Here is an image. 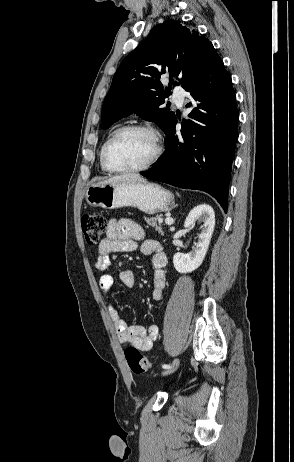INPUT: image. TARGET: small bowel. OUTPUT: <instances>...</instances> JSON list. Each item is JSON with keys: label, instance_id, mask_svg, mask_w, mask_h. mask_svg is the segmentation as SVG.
<instances>
[{"label": "small bowel", "instance_id": "c3829d8e", "mask_svg": "<svg viewBox=\"0 0 294 462\" xmlns=\"http://www.w3.org/2000/svg\"><path fill=\"white\" fill-rule=\"evenodd\" d=\"M143 238L142 228L131 219H112L109 221L106 237L102 239L98 246V257L95 268L98 271H106L112 264L111 255L116 252H131L137 248L138 242ZM141 252L144 255H151V265L153 268V290L152 298L155 301H161L164 297L166 287V276L164 267L167 264V258L162 250L161 244L156 240H144L141 243ZM121 283L127 288L135 285V275L130 269H124L119 273ZM114 280L110 274H103L99 279V286L104 293H108ZM108 312L113 321L114 327L119 339L141 351H149L159 335L157 325H129L119 315L118 311L111 305H108Z\"/></svg>", "mask_w": 294, "mask_h": 462}]
</instances>
